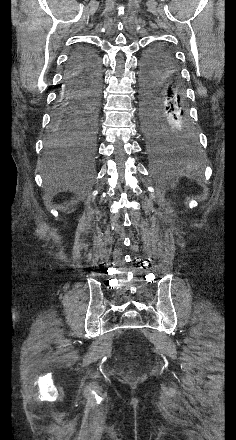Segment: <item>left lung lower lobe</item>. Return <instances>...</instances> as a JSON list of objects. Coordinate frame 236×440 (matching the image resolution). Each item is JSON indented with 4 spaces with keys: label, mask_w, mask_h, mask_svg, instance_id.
Instances as JSON below:
<instances>
[{
    "label": "left lung lower lobe",
    "mask_w": 236,
    "mask_h": 440,
    "mask_svg": "<svg viewBox=\"0 0 236 440\" xmlns=\"http://www.w3.org/2000/svg\"><path fill=\"white\" fill-rule=\"evenodd\" d=\"M141 126L152 150L188 143L194 132L188 118L185 88L171 52L142 64Z\"/></svg>",
    "instance_id": "obj_1"
}]
</instances>
